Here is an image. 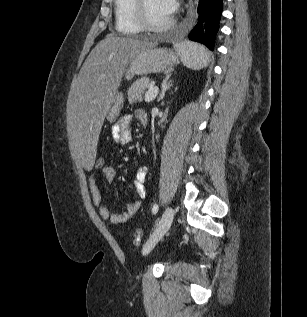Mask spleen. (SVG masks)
<instances>
[{
	"label": "spleen",
	"instance_id": "obj_1",
	"mask_svg": "<svg viewBox=\"0 0 307 317\" xmlns=\"http://www.w3.org/2000/svg\"><path fill=\"white\" fill-rule=\"evenodd\" d=\"M182 63L191 69L198 70L206 65V49L193 43H181L175 46Z\"/></svg>",
	"mask_w": 307,
	"mask_h": 317
}]
</instances>
